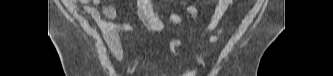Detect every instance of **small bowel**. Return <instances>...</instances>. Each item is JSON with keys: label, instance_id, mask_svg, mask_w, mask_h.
<instances>
[{"label": "small bowel", "instance_id": "small-bowel-1", "mask_svg": "<svg viewBox=\"0 0 333 76\" xmlns=\"http://www.w3.org/2000/svg\"><path fill=\"white\" fill-rule=\"evenodd\" d=\"M72 5H83V11L89 15L94 23L100 28L106 46L111 54L117 59H122L124 49L122 47L119 32L121 30H131L132 26L128 23L118 22V13L112 4H103L101 0H71ZM136 15L143 24L153 32H159L164 28V19L174 24H183V19L178 14L161 15L154 3L150 0H136ZM233 5V0H219L214 11L211 22L206 29V35L210 43H215L221 33V24L227 10ZM186 12L194 19L197 17L198 9L190 4L184 3ZM183 43L175 39L170 43L172 57L180 55L179 48Z\"/></svg>", "mask_w": 333, "mask_h": 76}]
</instances>
